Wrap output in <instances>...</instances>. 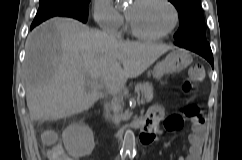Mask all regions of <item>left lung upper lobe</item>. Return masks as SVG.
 <instances>
[{
    "instance_id": "1",
    "label": "left lung upper lobe",
    "mask_w": 242,
    "mask_h": 160,
    "mask_svg": "<svg viewBox=\"0 0 242 160\" xmlns=\"http://www.w3.org/2000/svg\"><path fill=\"white\" fill-rule=\"evenodd\" d=\"M179 12V29L174 35L177 42L206 39V25L201 0H169Z\"/></svg>"
}]
</instances>
